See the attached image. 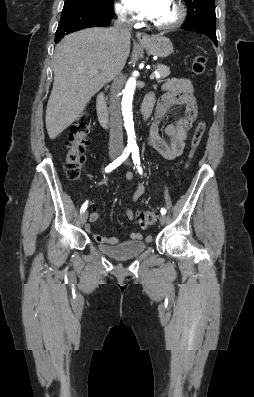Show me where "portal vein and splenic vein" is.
I'll return each mask as SVG.
<instances>
[{
    "instance_id": "1",
    "label": "portal vein and splenic vein",
    "mask_w": 254,
    "mask_h": 397,
    "mask_svg": "<svg viewBox=\"0 0 254 397\" xmlns=\"http://www.w3.org/2000/svg\"><path fill=\"white\" fill-rule=\"evenodd\" d=\"M154 77H159L158 72H154L153 74L150 75V79H154Z\"/></svg>"
}]
</instances>
